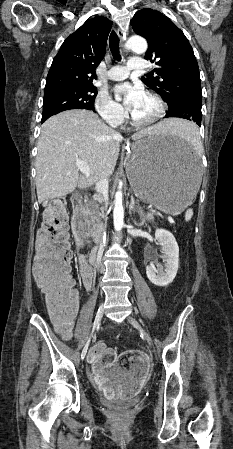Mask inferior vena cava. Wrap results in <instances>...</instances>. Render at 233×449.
<instances>
[{"label": "inferior vena cava", "mask_w": 233, "mask_h": 449, "mask_svg": "<svg viewBox=\"0 0 233 449\" xmlns=\"http://www.w3.org/2000/svg\"><path fill=\"white\" fill-rule=\"evenodd\" d=\"M108 187H109L108 178H102V179H100L99 181L96 182L95 190H96V192H98L101 195L103 201H106V199H107ZM102 231L100 232V235H99V248L103 247V245H102Z\"/></svg>", "instance_id": "602c4592"}]
</instances>
